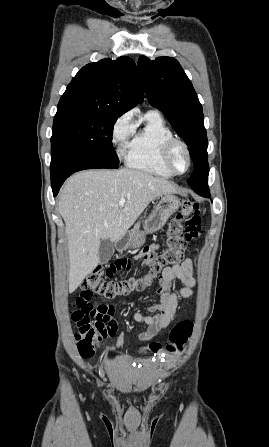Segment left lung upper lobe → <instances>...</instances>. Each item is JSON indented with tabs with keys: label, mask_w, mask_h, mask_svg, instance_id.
Returning <instances> with one entry per match:
<instances>
[{
	"label": "left lung upper lobe",
	"mask_w": 269,
	"mask_h": 447,
	"mask_svg": "<svg viewBox=\"0 0 269 447\" xmlns=\"http://www.w3.org/2000/svg\"><path fill=\"white\" fill-rule=\"evenodd\" d=\"M138 70L150 104L165 114L189 147L195 169L188 184L192 188L208 186V141L202 105L192 83L179 62L171 57L151 61L141 56Z\"/></svg>",
	"instance_id": "1"
}]
</instances>
